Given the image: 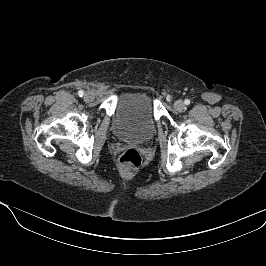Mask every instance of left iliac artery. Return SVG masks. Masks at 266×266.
<instances>
[{
	"instance_id": "left-iliac-artery-1",
	"label": "left iliac artery",
	"mask_w": 266,
	"mask_h": 266,
	"mask_svg": "<svg viewBox=\"0 0 266 266\" xmlns=\"http://www.w3.org/2000/svg\"><path fill=\"white\" fill-rule=\"evenodd\" d=\"M184 103H185L186 105H189V104H190V100H189V99H186V100L184 101Z\"/></svg>"
}]
</instances>
